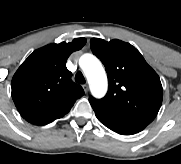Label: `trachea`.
I'll return each instance as SVG.
<instances>
[{
  "instance_id": "1",
  "label": "trachea",
  "mask_w": 181,
  "mask_h": 164,
  "mask_svg": "<svg viewBox=\"0 0 181 164\" xmlns=\"http://www.w3.org/2000/svg\"><path fill=\"white\" fill-rule=\"evenodd\" d=\"M75 81L80 84H84L86 82L83 74L80 71L76 73Z\"/></svg>"
}]
</instances>
